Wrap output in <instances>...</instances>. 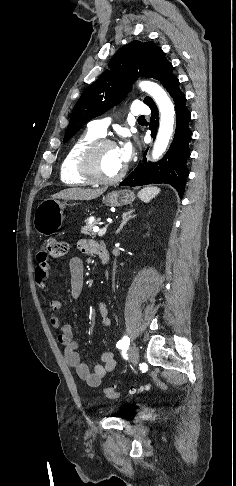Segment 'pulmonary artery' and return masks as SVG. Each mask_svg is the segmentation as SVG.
I'll return each mask as SVG.
<instances>
[{"label": "pulmonary artery", "mask_w": 236, "mask_h": 486, "mask_svg": "<svg viewBox=\"0 0 236 486\" xmlns=\"http://www.w3.org/2000/svg\"><path fill=\"white\" fill-rule=\"evenodd\" d=\"M131 113L134 116H144L150 113L148 106L142 102H135L131 107ZM109 124V119H95L89 122L88 129L95 132L96 134L103 136L106 133Z\"/></svg>", "instance_id": "obj_1"}]
</instances>
